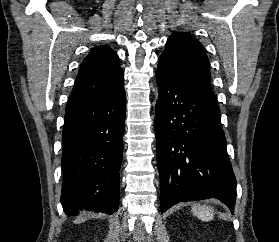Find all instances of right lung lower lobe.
Wrapping results in <instances>:
<instances>
[{
    "label": "right lung lower lobe",
    "instance_id": "right-lung-lower-lobe-1",
    "mask_svg": "<svg viewBox=\"0 0 279 242\" xmlns=\"http://www.w3.org/2000/svg\"><path fill=\"white\" fill-rule=\"evenodd\" d=\"M125 110L123 86L100 98L67 104L61 203L68 216L82 209L118 210Z\"/></svg>",
    "mask_w": 279,
    "mask_h": 242
}]
</instances>
